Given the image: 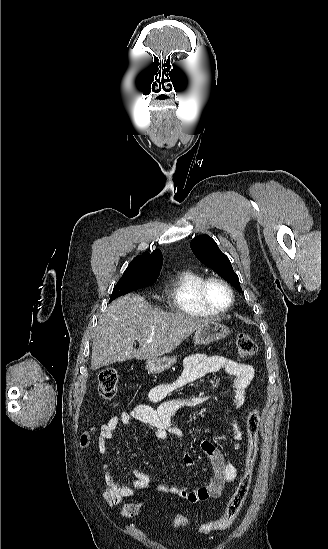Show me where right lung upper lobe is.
Here are the masks:
<instances>
[{"instance_id": "right-lung-upper-lobe-1", "label": "right lung upper lobe", "mask_w": 328, "mask_h": 549, "mask_svg": "<svg viewBox=\"0 0 328 549\" xmlns=\"http://www.w3.org/2000/svg\"><path fill=\"white\" fill-rule=\"evenodd\" d=\"M162 263L163 257L161 251L154 250L151 254L144 253L143 255L136 256L128 265L125 272L133 271L145 266H156L161 268Z\"/></svg>"}]
</instances>
